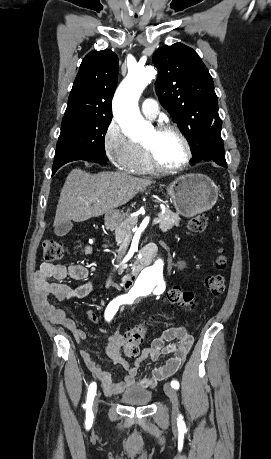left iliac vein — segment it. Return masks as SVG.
Here are the masks:
<instances>
[{
    "mask_svg": "<svg viewBox=\"0 0 271 459\" xmlns=\"http://www.w3.org/2000/svg\"><path fill=\"white\" fill-rule=\"evenodd\" d=\"M164 392L169 397L171 405H172V415L178 414L179 410V403H178V396L176 391L172 388V386L168 383L164 385Z\"/></svg>",
    "mask_w": 271,
    "mask_h": 459,
    "instance_id": "4c4485c4",
    "label": "left iliac vein"
}]
</instances>
